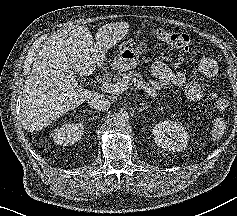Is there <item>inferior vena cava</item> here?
<instances>
[{"mask_svg": "<svg viewBox=\"0 0 237 216\" xmlns=\"http://www.w3.org/2000/svg\"><path fill=\"white\" fill-rule=\"evenodd\" d=\"M88 105L98 111H108L111 103L104 94L94 93L91 98H88Z\"/></svg>", "mask_w": 237, "mask_h": 216, "instance_id": "obj_1", "label": "inferior vena cava"}]
</instances>
